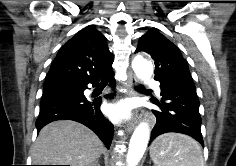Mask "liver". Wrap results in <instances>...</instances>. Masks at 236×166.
<instances>
[{
	"label": "liver",
	"mask_w": 236,
	"mask_h": 166,
	"mask_svg": "<svg viewBox=\"0 0 236 166\" xmlns=\"http://www.w3.org/2000/svg\"><path fill=\"white\" fill-rule=\"evenodd\" d=\"M104 152L101 140L84 125L59 120L46 125L32 148L34 165L91 166Z\"/></svg>",
	"instance_id": "6515ba94"
}]
</instances>
